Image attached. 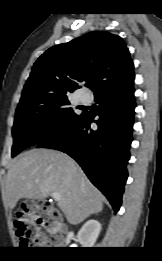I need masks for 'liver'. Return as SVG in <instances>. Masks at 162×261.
Segmentation results:
<instances>
[{
  "label": "liver",
  "instance_id": "1",
  "mask_svg": "<svg viewBox=\"0 0 162 261\" xmlns=\"http://www.w3.org/2000/svg\"><path fill=\"white\" fill-rule=\"evenodd\" d=\"M54 192L61 195L57 204L70 224H79L103 209V195L67 154L32 149L8 170L4 198L11 210L22 198H46Z\"/></svg>",
  "mask_w": 162,
  "mask_h": 261
}]
</instances>
